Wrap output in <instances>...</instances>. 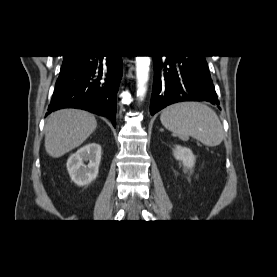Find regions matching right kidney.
I'll return each instance as SVG.
<instances>
[{"instance_id":"obj_1","label":"right kidney","mask_w":277,"mask_h":277,"mask_svg":"<svg viewBox=\"0 0 277 277\" xmlns=\"http://www.w3.org/2000/svg\"><path fill=\"white\" fill-rule=\"evenodd\" d=\"M101 161V146L89 143L81 147L67 160V170L72 181L78 186L90 184L98 176ZM84 162H89L85 165Z\"/></svg>"}]
</instances>
